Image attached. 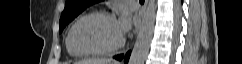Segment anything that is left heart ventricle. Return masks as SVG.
Returning a JSON list of instances; mask_svg holds the SVG:
<instances>
[{"instance_id": "b2bd125f", "label": "left heart ventricle", "mask_w": 242, "mask_h": 64, "mask_svg": "<svg viewBox=\"0 0 242 64\" xmlns=\"http://www.w3.org/2000/svg\"><path fill=\"white\" fill-rule=\"evenodd\" d=\"M122 39L116 21L93 17L83 21L76 29L75 41L85 49H105L117 44Z\"/></svg>"}]
</instances>
